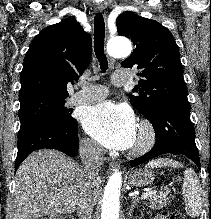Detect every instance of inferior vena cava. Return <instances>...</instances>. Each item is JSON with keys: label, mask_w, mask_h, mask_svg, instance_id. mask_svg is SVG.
<instances>
[{"label": "inferior vena cava", "mask_w": 211, "mask_h": 219, "mask_svg": "<svg viewBox=\"0 0 211 219\" xmlns=\"http://www.w3.org/2000/svg\"><path fill=\"white\" fill-rule=\"evenodd\" d=\"M79 153L83 165L85 185L77 201V214L79 219H92L95 205L93 192L100 179L98 173L103 165V149L92 140L85 139L80 142Z\"/></svg>", "instance_id": "obj_1"}]
</instances>
